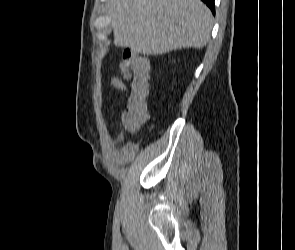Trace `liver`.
I'll use <instances>...</instances> for the list:
<instances>
[{
    "label": "liver",
    "instance_id": "1",
    "mask_svg": "<svg viewBox=\"0 0 295 250\" xmlns=\"http://www.w3.org/2000/svg\"><path fill=\"white\" fill-rule=\"evenodd\" d=\"M110 12L115 44L144 55L200 49L212 29L200 0H110Z\"/></svg>",
    "mask_w": 295,
    "mask_h": 250
}]
</instances>
